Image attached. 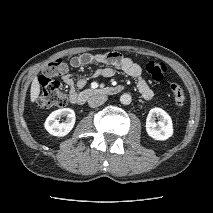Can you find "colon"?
Listing matches in <instances>:
<instances>
[{
    "label": "colon",
    "mask_w": 213,
    "mask_h": 213,
    "mask_svg": "<svg viewBox=\"0 0 213 213\" xmlns=\"http://www.w3.org/2000/svg\"><path fill=\"white\" fill-rule=\"evenodd\" d=\"M66 69L67 65L62 59H55L44 67L39 77L41 92L37 99V104L40 108L47 109L66 105L68 100L67 93L61 84L54 79L63 74ZM146 71L154 81L160 82L164 79L167 67L162 62L150 60L146 63ZM169 86L174 104L182 107L186 100L182 87L174 81L170 82Z\"/></svg>",
    "instance_id": "5ec220e1"
}]
</instances>
